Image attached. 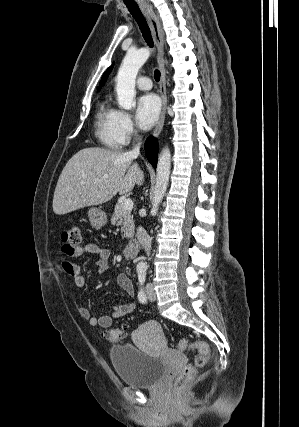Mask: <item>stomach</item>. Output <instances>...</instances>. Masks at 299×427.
Segmentation results:
<instances>
[{
  "instance_id": "0dacf381",
  "label": "stomach",
  "mask_w": 299,
  "mask_h": 427,
  "mask_svg": "<svg viewBox=\"0 0 299 427\" xmlns=\"http://www.w3.org/2000/svg\"><path fill=\"white\" fill-rule=\"evenodd\" d=\"M88 217L91 225L96 229L103 227L107 223L106 213L100 208H90L88 210Z\"/></svg>"
}]
</instances>
